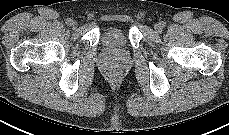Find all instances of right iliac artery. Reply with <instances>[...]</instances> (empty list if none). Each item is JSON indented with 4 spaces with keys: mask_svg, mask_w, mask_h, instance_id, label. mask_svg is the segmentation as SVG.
<instances>
[{
    "mask_svg": "<svg viewBox=\"0 0 229 135\" xmlns=\"http://www.w3.org/2000/svg\"><path fill=\"white\" fill-rule=\"evenodd\" d=\"M71 21H72V19L68 18V19L66 20V24H67V25H70V24H71Z\"/></svg>",
    "mask_w": 229,
    "mask_h": 135,
    "instance_id": "1",
    "label": "right iliac artery"
}]
</instances>
